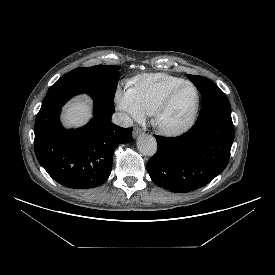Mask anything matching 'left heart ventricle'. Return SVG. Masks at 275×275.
I'll return each mask as SVG.
<instances>
[{"mask_svg": "<svg viewBox=\"0 0 275 275\" xmlns=\"http://www.w3.org/2000/svg\"><path fill=\"white\" fill-rule=\"evenodd\" d=\"M195 104V92L190 86L182 87L174 95L170 105L162 114L160 122L165 127H176L190 116Z\"/></svg>", "mask_w": 275, "mask_h": 275, "instance_id": "left-heart-ventricle-1", "label": "left heart ventricle"}]
</instances>
